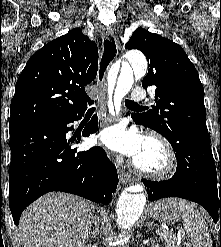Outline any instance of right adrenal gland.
I'll return each mask as SVG.
<instances>
[{"label": "right adrenal gland", "instance_id": "1", "mask_svg": "<svg viewBox=\"0 0 221 247\" xmlns=\"http://www.w3.org/2000/svg\"><path fill=\"white\" fill-rule=\"evenodd\" d=\"M98 234H99L98 224H97V222H95V227H94L93 231H91L88 238H95L96 239Z\"/></svg>", "mask_w": 221, "mask_h": 247}]
</instances>
